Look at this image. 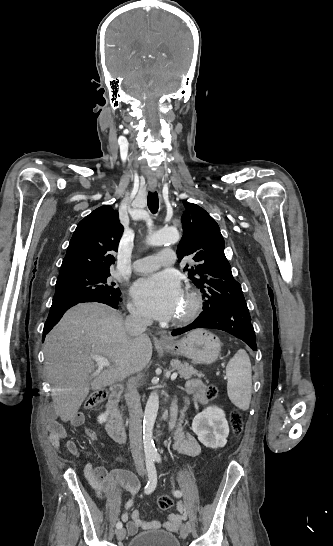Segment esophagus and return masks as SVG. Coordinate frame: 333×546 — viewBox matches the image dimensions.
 <instances>
[{
  "instance_id": "1",
  "label": "esophagus",
  "mask_w": 333,
  "mask_h": 546,
  "mask_svg": "<svg viewBox=\"0 0 333 546\" xmlns=\"http://www.w3.org/2000/svg\"><path fill=\"white\" fill-rule=\"evenodd\" d=\"M156 188H157V185H156V184H150V185H149V189H150L152 192H154V191L156 190ZM159 341H160V343H167V342H168V340H167L165 337H161Z\"/></svg>"
}]
</instances>
